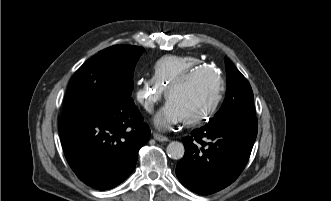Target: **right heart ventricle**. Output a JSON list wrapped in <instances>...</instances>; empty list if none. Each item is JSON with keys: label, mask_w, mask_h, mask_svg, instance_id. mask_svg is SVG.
Listing matches in <instances>:
<instances>
[{"label": "right heart ventricle", "mask_w": 331, "mask_h": 201, "mask_svg": "<svg viewBox=\"0 0 331 201\" xmlns=\"http://www.w3.org/2000/svg\"><path fill=\"white\" fill-rule=\"evenodd\" d=\"M203 66L205 65L196 57L165 56L155 63L152 78L168 89L183 74Z\"/></svg>", "instance_id": "obj_1"}]
</instances>
